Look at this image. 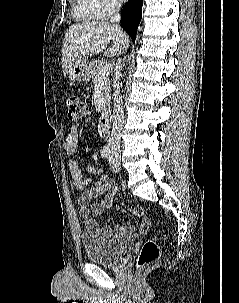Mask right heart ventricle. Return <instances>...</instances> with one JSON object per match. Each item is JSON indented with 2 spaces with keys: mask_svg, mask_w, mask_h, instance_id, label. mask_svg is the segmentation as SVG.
<instances>
[{
  "mask_svg": "<svg viewBox=\"0 0 239 303\" xmlns=\"http://www.w3.org/2000/svg\"><path fill=\"white\" fill-rule=\"evenodd\" d=\"M73 13L78 19L85 21L100 19L92 13L88 0H74Z\"/></svg>",
  "mask_w": 239,
  "mask_h": 303,
  "instance_id": "e07e8e85",
  "label": "right heart ventricle"
}]
</instances>
